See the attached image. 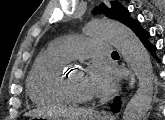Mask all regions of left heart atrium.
<instances>
[{"mask_svg": "<svg viewBox=\"0 0 165 120\" xmlns=\"http://www.w3.org/2000/svg\"><path fill=\"white\" fill-rule=\"evenodd\" d=\"M89 85L96 96H107L117 85L115 71L102 61H95L87 71Z\"/></svg>", "mask_w": 165, "mask_h": 120, "instance_id": "1", "label": "left heart atrium"}]
</instances>
